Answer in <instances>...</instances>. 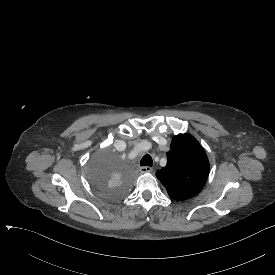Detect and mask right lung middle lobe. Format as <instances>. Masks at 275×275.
<instances>
[{
    "mask_svg": "<svg viewBox=\"0 0 275 275\" xmlns=\"http://www.w3.org/2000/svg\"><path fill=\"white\" fill-rule=\"evenodd\" d=\"M89 169V179L106 202H115L128 193L133 186V175L126 158L114 147L98 145Z\"/></svg>",
    "mask_w": 275,
    "mask_h": 275,
    "instance_id": "obj_1",
    "label": "right lung middle lobe"
}]
</instances>
